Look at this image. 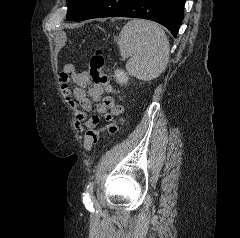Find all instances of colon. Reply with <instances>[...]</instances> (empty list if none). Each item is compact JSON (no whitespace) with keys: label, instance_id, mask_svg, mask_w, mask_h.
<instances>
[{"label":"colon","instance_id":"colon-1","mask_svg":"<svg viewBox=\"0 0 240 238\" xmlns=\"http://www.w3.org/2000/svg\"><path fill=\"white\" fill-rule=\"evenodd\" d=\"M105 59L100 51H97L90 59L89 73L93 81L102 85L108 92L113 93L114 89L110 85L109 76L104 72ZM121 119L109 122L104 128L100 130L90 129L87 131L84 138V148L90 151L98 142L102 133L115 134L121 123Z\"/></svg>","mask_w":240,"mask_h":238}]
</instances>
